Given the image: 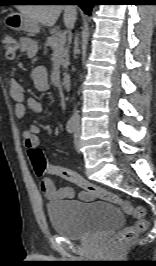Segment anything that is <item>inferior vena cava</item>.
<instances>
[{
	"mask_svg": "<svg viewBox=\"0 0 156 266\" xmlns=\"http://www.w3.org/2000/svg\"><path fill=\"white\" fill-rule=\"evenodd\" d=\"M77 42H78V38L76 37L75 38V44H77ZM74 120H75V122H79V116H78V112L76 110H75V113H74Z\"/></svg>",
	"mask_w": 156,
	"mask_h": 266,
	"instance_id": "obj_1",
	"label": "inferior vena cava"
}]
</instances>
